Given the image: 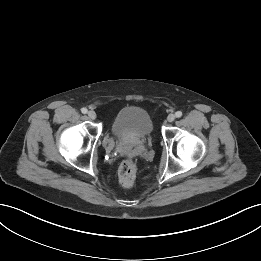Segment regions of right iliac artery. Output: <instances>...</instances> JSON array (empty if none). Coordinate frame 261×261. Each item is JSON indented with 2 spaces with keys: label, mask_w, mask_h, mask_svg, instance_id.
<instances>
[{
  "label": "right iliac artery",
  "mask_w": 261,
  "mask_h": 261,
  "mask_svg": "<svg viewBox=\"0 0 261 261\" xmlns=\"http://www.w3.org/2000/svg\"><path fill=\"white\" fill-rule=\"evenodd\" d=\"M87 111H88V110H87L86 108H82V109H81V112H82L83 114H86Z\"/></svg>",
  "instance_id": "82829eb1"
}]
</instances>
